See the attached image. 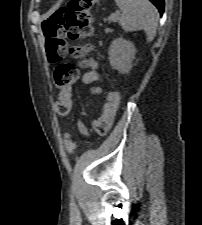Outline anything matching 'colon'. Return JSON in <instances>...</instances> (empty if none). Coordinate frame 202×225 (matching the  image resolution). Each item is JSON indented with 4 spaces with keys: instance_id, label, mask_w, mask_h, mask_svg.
<instances>
[{
    "instance_id": "5ec220e1",
    "label": "colon",
    "mask_w": 202,
    "mask_h": 225,
    "mask_svg": "<svg viewBox=\"0 0 202 225\" xmlns=\"http://www.w3.org/2000/svg\"><path fill=\"white\" fill-rule=\"evenodd\" d=\"M96 0H70L64 7L54 12L42 25L46 39L48 61L55 65L53 80L59 89V98L56 102V112L67 116L72 109L71 85L76 77V71L71 62L64 60L70 52L78 57L90 50L88 45H77L68 49L67 38L80 40L93 33L92 9ZM121 92L110 89L106 93V102L100 117L92 120L95 133L106 136L113 124L116 112L120 105ZM67 149L72 152L73 144L65 140Z\"/></svg>"
}]
</instances>
